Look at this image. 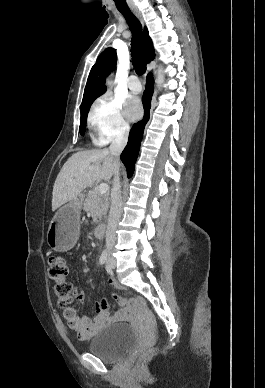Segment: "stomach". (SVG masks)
<instances>
[{
  "instance_id": "obj_1",
  "label": "stomach",
  "mask_w": 265,
  "mask_h": 388,
  "mask_svg": "<svg viewBox=\"0 0 265 388\" xmlns=\"http://www.w3.org/2000/svg\"><path fill=\"white\" fill-rule=\"evenodd\" d=\"M81 200L76 198L61 207L54 215L48 232L47 243L55 251H68L79 236Z\"/></svg>"
}]
</instances>
